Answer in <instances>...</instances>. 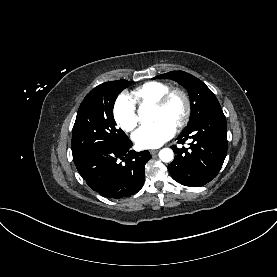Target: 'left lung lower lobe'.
Masks as SVG:
<instances>
[{
	"instance_id": "obj_1",
	"label": "left lung lower lobe",
	"mask_w": 277,
	"mask_h": 277,
	"mask_svg": "<svg viewBox=\"0 0 277 277\" xmlns=\"http://www.w3.org/2000/svg\"><path fill=\"white\" fill-rule=\"evenodd\" d=\"M193 139L189 148L172 146L176 153L168 166L173 179L190 187H200L220 171L227 153V126L222 109L214 110L177 138L178 143Z\"/></svg>"
}]
</instances>
